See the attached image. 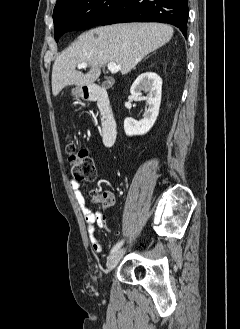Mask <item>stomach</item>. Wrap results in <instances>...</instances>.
<instances>
[{
	"instance_id": "1",
	"label": "stomach",
	"mask_w": 240,
	"mask_h": 329,
	"mask_svg": "<svg viewBox=\"0 0 240 329\" xmlns=\"http://www.w3.org/2000/svg\"><path fill=\"white\" fill-rule=\"evenodd\" d=\"M72 95H73L75 98L83 97V96H84V94H83V88H82V87H76V88H73V89H72Z\"/></svg>"
}]
</instances>
